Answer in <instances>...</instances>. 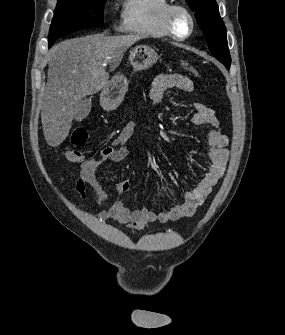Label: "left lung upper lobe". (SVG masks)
<instances>
[{"label":"left lung upper lobe","mask_w":285,"mask_h":335,"mask_svg":"<svg viewBox=\"0 0 285 335\" xmlns=\"http://www.w3.org/2000/svg\"><path fill=\"white\" fill-rule=\"evenodd\" d=\"M186 1L195 11L197 22L203 31L212 55L229 69L231 57L228 50L226 27L220 17L216 0Z\"/></svg>","instance_id":"1"}]
</instances>
